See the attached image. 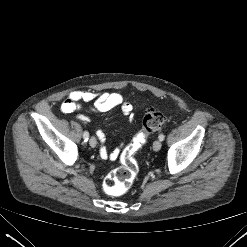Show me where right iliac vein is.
<instances>
[{"mask_svg":"<svg viewBox=\"0 0 247 247\" xmlns=\"http://www.w3.org/2000/svg\"><path fill=\"white\" fill-rule=\"evenodd\" d=\"M89 144L91 147H95L96 144H97V140L95 137H91L90 140H89Z\"/></svg>","mask_w":247,"mask_h":247,"instance_id":"right-iliac-vein-1","label":"right iliac vein"}]
</instances>
